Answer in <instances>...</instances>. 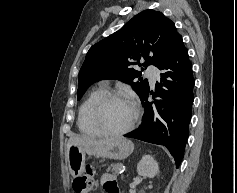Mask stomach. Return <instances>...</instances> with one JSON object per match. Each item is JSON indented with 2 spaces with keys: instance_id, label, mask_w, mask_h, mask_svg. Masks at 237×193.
<instances>
[{
  "instance_id": "obj_1",
  "label": "stomach",
  "mask_w": 237,
  "mask_h": 193,
  "mask_svg": "<svg viewBox=\"0 0 237 193\" xmlns=\"http://www.w3.org/2000/svg\"><path fill=\"white\" fill-rule=\"evenodd\" d=\"M134 150V144L123 137L112 138L99 146L71 145L68 149V164L71 174L76 177L85 170V157L96 156L114 160L127 158Z\"/></svg>"
}]
</instances>
